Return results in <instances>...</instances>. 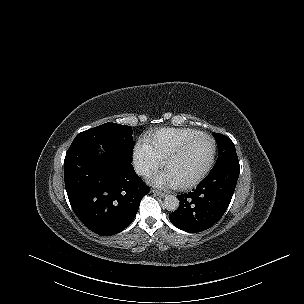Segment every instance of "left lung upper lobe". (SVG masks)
I'll return each mask as SVG.
<instances>
[{"mask_svg":"<svg viewBox=\"0 0 304 304\" xmlns=\"http://www.w3.org/2000/svg\"><path fill=\"white\" fill-rule=\"evenodd\" d=\"M213 135L217 140L218 159L211 171L218 170L231 163L239 162L234 143L231 141V139L222 134L214 132Z\"/></svg>","mask_w":304,"mask_h":304,"instance_id":"obj_1","label":"left lung upper lobe"}]
</instances>
